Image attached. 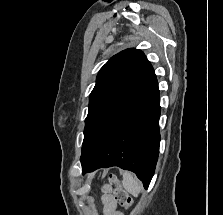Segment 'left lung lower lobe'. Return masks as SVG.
Listing matches in <instances>:
<instances>
[{
	"instance_id": "0a47b994",
	"label": "left lung lower lobe",
	"mask_w": 223,
	"mask_h": 215,
	"mask_svg": "<svg viewBox=\"0 0 223 215\" xmlns=\"http://www.w3.org/2000/svg\"><path fill=\"white\" fill-rule=\"evenodd\" d=\"M160 99L157 80L112 128L82 174L118 166L134 172L145 189L156 167L160 133Z\"/></svg>"
}]
</instances>
